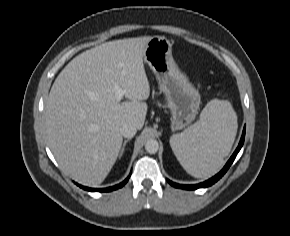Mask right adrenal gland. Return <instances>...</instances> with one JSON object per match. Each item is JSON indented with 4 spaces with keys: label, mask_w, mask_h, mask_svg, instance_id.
<instances>
[{
    "label": "right adrenal gland",
    "mask_w": 290,
    "mask_h": 236,
    "mask_svg": "<svg viewBox=\"0 0 290 236\" xmlns=\"http://www.w3.org/2000/svg\"><path fill=\"white\" fill-rule=\"evenodd\" d=\"M129 141H130V139L124 140L122 148H121V151H120V154H119V157H122V155L124 153V150H125V146H126L127 142H129Z\"/></svg>",
    "instance_id": "obj_1"
}]
</instances>
